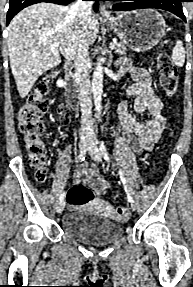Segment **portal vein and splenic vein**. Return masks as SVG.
I'll return each instance as SVG.
<instances>
[{"instance_id": "obj_1", "label": "portal vein and splenic vein", "mask_w": 193, "mask_h": 287, "mask_svg": "<svg viewBox=\"0 0 193 287\" xmlns=\"http://www.w3.org/2000/svg\"><path fill=\"white\" fill-rule=\"evenodd\" d=\"M60 45V43H54L53 47H58ZM115 48V43H110V49H114Z\"/></svg>"}]
</instances>
